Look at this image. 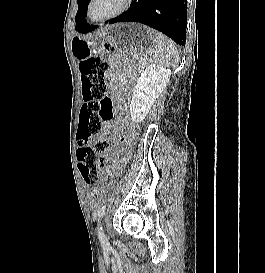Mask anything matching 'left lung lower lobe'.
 <instances>
[{"instance_id": "0a47b994", "label": "left lung lower lobe", "mask_w": 265, "mask_h": 273, "mask_svg": "<svg viewBox=\"0 0 265 273\" xmlns=\"http://www.w3.org/2000/svg\"><path fill=\"white\" fill-rule=\"evenodd\" d=\"M117 22H139L161 31L178 45L186 42L187 0H133L128 11L110 20ZM97 26L87 22L78 32L88 33Z\"/></svg>"}]
</instances>
